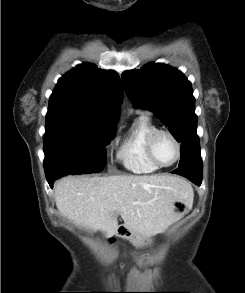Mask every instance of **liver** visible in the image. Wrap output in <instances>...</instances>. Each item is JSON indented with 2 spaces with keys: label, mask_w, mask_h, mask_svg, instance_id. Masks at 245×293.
<instances>
[{
  "label": "liver",
  "mask_w": 245,
  "mask_h": 293,
  "mask_svg": "<svg viewBox=\"0 0 245 293\" xmlns=\"http://www.w3.org/2000/svg\"><path fill=\"white\" fill-rule=\"evenodd\" d=\"M54 193L64 217L108 238L118 232L119 215L129 232L150 238L183 216L175 213V201L188 207L193 202L191 186L171 175L69 176L56 183Z\"/></svg>",
  "instance_id": "liver-1"
}]
</instances>
